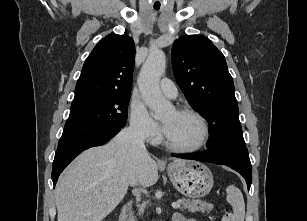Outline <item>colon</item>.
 <instances>
[{"instance_id": "1", "label": "colon", "mask_w": 307, "mask_h": 221, "mask_svg": "<svg viewBox=\"0 0 307 221\" xmlns=\"http://www.w3.org/2000/svg\"><path fill=\"white\" fill-rule=\"evenodd\" d=\"M221 221H235V217L231 211L224 209Z\"/></svg>"}]
</instances>
